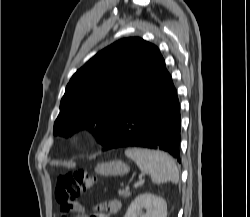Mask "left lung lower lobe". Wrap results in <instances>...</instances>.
I'll use <instances>...</instances> for the list:
<instances>
[{"label":"left lung lower lobe","mask_w":250,"mask_h":217,"mask_svg":"<svg viewBox=\"0 0 250 217\" xmlns=\"http://www.w3.org/2000/svg\"><path fill=\"white\" fill-rule=\"evenodd\" d=\"M180 104L161 54L118 115L104 150L144 147L170 153L180 162Z\"/></svg>","instance_id":"obj_1"}]
</instances>
